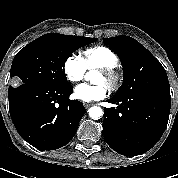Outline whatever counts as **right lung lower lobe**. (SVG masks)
I'll use <instances>...</instances> for the list:
<instances>
[{
  "label": "right lung lower lobe",
  "instance_id": "obj_1",
  "mask_svg": "<svg viewBox=\"0 0 178 178\" xmlns=\"http://www.w3.org/2000/svg\"><path fill=\"white\" fill-rule=\"evenodd\" d=\"M72 92L70 84L10 86L9 111L21 137L42 150H55L68 144L86 112L80 101L69 99Z\"/></svg>",
  "mask_w": 178,
  "mask_h": 178
}]
</instances>
